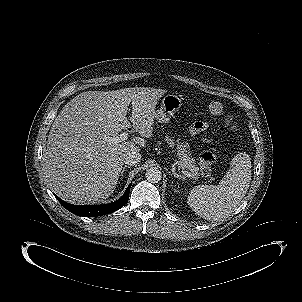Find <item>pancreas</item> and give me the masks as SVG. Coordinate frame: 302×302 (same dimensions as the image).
Listing matches in <instances>:
<instances>
[{
    "label": "pancreas",
    "mask_w": 302,
    "mask_h": 302,
    "mask_svg": "<svg viewBox=\"0 0 302 302\" xmlns=\"http://www.w3.org/2000/svg\"><path fill=\"white\" fill-rule=\"evenodd\" d=\"M166 142L170 146H175V142L173 139H171L169 136H166ZM177 157H178V167H180L182 170L190 171L193 175V178H196L200 175V169L196 165L195 159L189 154L188 152V146L180 143L177 141Z\"/></svg>",
    "instance_id": "pancreas-1"
}]
</instances>
